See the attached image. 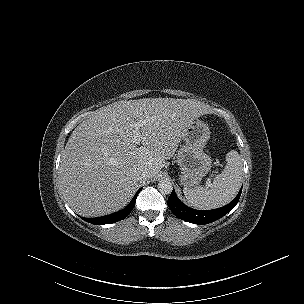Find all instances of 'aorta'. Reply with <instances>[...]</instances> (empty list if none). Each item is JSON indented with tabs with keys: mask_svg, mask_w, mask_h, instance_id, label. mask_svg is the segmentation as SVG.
<instances>
[{
	"mask_svg": "<svg viewBox=\"0 0 304 304\" xmlns=\"http://www.w3.org/2000/svg\"><path fill=\"white\" fill-rule=\"evenodd\" d=\"M158 189L162 194H171L173 190V185L168 179H161L158 183Z\"/></svg>",
	"mask_w": 304,
	"mask_h": 304,
	"instance_id": "aorta-1",
	"label": "aorta"
}]
</instances>
